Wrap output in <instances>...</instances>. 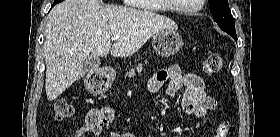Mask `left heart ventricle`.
<instances>
[{"label": "left heart ventricle", "mask_w": 280, "mask_h": 137, "mask_svg": "<svg viewBox=\"0 0 280 137\" xmlns=\"http://www.w3.org/2000/svg\"><path fill=\"white\" fill-rule=\"evenodd\" d=\"M178 5L183 7L195 6L198 0H178Z\"/></svg>", "instance_id": "left-heart-ventricle-1"}]
</instances>
